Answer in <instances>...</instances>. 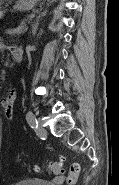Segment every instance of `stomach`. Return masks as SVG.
<instances>
[{
  "label": "stomach",
  "mask_w": 119,
  "mask_h": 185,
  "mask_svg": "<svg viewBox=\"0 0 119 185\" xmlns=\"http://www.w3.org/2000/svg\"><path fill=\"white\" fill-rule=\"evenodd\" d=\"M38 0H19L16 5V9L20 11H28L31 10ZM3 16V13L0 11V18Z\"/></svg>",
  "instance_id": "obj_1"
}]
</instances>
